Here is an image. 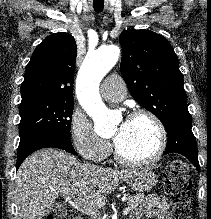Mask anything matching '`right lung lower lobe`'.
Here are the masks:
<instances>
[{
	"label": "right lung lower lobe",
	"mask_w": 211,
	"mask_h": 219,
	"mask_svg": "<svg viewBox=\"0 0 211 219\" xmlns=\"http://www.w3.org/2000/svg\"><path fill=\"white\" fill-rule=\"evenodd\" d=\"M48 147L60 148L74 155L77 154L71 144V141H66L62 138L52 135H40L33 137L23 143H19L16 169L20 167L24 159L32 152L41 148H48Z\"/></svg>",
	"instance_id": "right-lung-lower-lobe-1"
}]
</instances>
